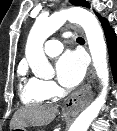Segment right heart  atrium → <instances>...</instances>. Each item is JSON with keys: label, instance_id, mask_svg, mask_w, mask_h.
Masks as SVG:
<instances>
[{"label": "right heart atrium", "instance_id": "obj_1", "mask_svg": "<svg viewBox=\"0 0 117 131\" xmlns=\"http://www.w3.org/2000/svg\"><path fill=\"white\" fill-rule=\"evenodd\" d=\"M42 83L44 90L50 97L56 96L59 93V87L55 82L43 81Z\"/></svg>", "mask_w": 117, "mask_h": 131}]
</instances>
